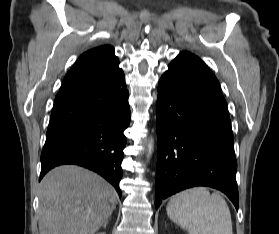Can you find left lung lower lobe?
Masks as SVG:
<instances>
[{"instance_id": "1", "label": "left lung lower lobe", "mask_w": 279, "mask_h": 234, "mask_svg": "<svg viewBox=\"0 0 279 234\" xmlns=\"http://www.w3.org/2000/svg\"><path fill=\"white\" fill-rule=\"evenodd\" d=\"M155 207L183 189L209 186L238 210L237 162L226 101L218 80L183 51L158 83Z\"/></svg>"}]
</instances>
